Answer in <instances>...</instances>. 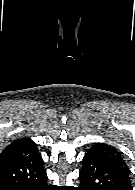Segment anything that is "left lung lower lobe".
<instances>
[{"label":"left lung lower lobe","instance_id":"obj_1","mask_svg":"<svg viewBox=\"0 0 135 190\" xmlns=\"http://www.w3.org/2000/svg\"><path fill=\"white\" fill-rule=\"evenodd\" d=\"M79 190H132L129 175L102 157L86 154Z\"/></svg>","mask_w":135,"mask_h":190}]
</instances>
